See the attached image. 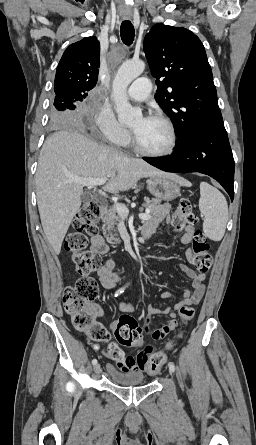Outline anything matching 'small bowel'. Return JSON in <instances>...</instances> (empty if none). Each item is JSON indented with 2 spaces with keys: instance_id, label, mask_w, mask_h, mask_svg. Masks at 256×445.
I'll return each instance as SVG.
<instances>
[{
  "instance_id": "c3829d8e",
  "label": "small bowel",
  "mask_w": 256,
  "mask_h": 445,
  "mask_svg": "<svg viewBox=\"0 0 256 445\" xmlns=\"http://www.w3.org/2000/svg\"><path fill=\"white\" fill-rule=\"evenodd\" d=\"M169 211V205L163 204L154 214V217L143 229L144 235L153 234L160 224L166 220L167 213ZM194 235V229L187 227L184 235L181 236L180 241L183 244H189ZM110 251V247L101 234H94L91 237V252L96 255H105ZM193 254L190 250L187 251V258L192 260ZM180 270L192 280L191 287L185 289L183 298L178 301L173 307L162 309L156 305H149L148 312L150 314H164L169 317L166 324L158 328H150V319L144 320L143 331L144 333L151 335L154 339H160L177 328V321L175 320L177 313L184 307L192 304H198L205 293V278L206 273H196L190 267L185 264H180ZM115 261L111 258L107 259L104 264L97 269V275L100 285L104 289H113L119 279V275L115 272ZM172 294L170 292H163L161 298H170ZM119 309L122 312H133L134 306L129 302H121ZM117 321H114L110 328L115 330ZM94 350H100V346L95 345ZM154 346L149 345L144 352L139 353L137 356H125L122 362H117V367L123 371H140L143 372L146 369L149 356L152 353ZM103 354L111 358V355L107 349H102Z\"/></svg>"
}]
</instances>
